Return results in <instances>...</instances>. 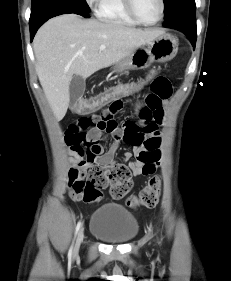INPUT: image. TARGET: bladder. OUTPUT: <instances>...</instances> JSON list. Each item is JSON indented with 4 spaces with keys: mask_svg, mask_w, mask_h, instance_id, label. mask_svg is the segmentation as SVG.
I'll return each mask as SVG.
<instances>
[{
    "mask_svg": "<svg viewBox=\"0 0 231 281\" xmlns=\"http://www.w3.org/2000/svg\"><path fill=\"white\" fill-rule=\"evenodd\" d=\"M90 233L108 244H125L138 232L136 218L123 206L107 203L97 208L90 221Z\"/></svg>",
    "mask_w": 231,
    "mask_h": 281,
    "instance_id": "obj_1",
    "label": "bladder"
}]
</instances>
